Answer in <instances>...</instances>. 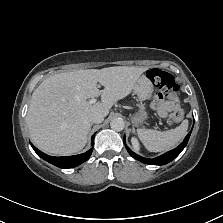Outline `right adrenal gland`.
I'll list each match as a JSON object with an SVG mask.
<instances>
[{"label": "right adrenal gland", "instance_id": "right-adrenal-gland-1", "mask_svg": "<svg viewBox=\"0 0 223 223\" xmlns=\"http://www.w3.org/2000/svg\"><path fill=\"white\" fill-rule=\"evenodd\" d=\"M94 125V123H91V125H90V130H91V127ZM90 132V131H89Z\"/></svg>", "mask_w": 223, "mask_h": 223}]
</instances>
